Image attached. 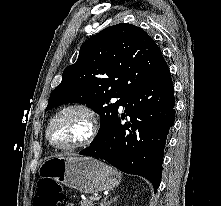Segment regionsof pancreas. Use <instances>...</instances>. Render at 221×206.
<instances>
[{"mask_svg":"<svg viewBox=\"0 0 221 206\" xmlns=\"http://www.w3.org/2000/svg\"><path fill=\"white\" fill-rule=\"evenodd\" d=\"M81 206H94L92 201L83 200L81 201Z\"/></svg>","mask_w":221,"mask_h":206,"instance_id":"pancreas-1","label":"pancreas"}]
</instances>
